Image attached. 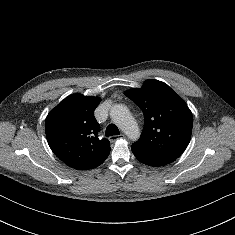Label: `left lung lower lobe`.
Instances as JSON below:
<instances>
[{
    "mask_svg": "<svg viewBox=\"0 0 235 235\" xmlns=\"http://www.w3.org/2000/svg\"><path fill=\"white\" fill-rule=\"evenodd\" d=\"M131 149L135 157L141 163L149 165V166H163V165L173 162L176 159L169 155H162V154L142 151L133 146H131Z\"/></svg>",
    "mask_w": 235,
    "mask_h": 235,
    "instance_id": "1",
    "label": "left lung lower lobe"
}]
</instances>
